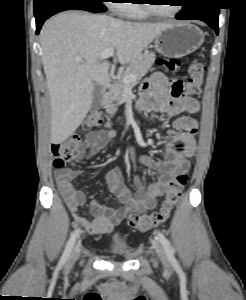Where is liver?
I'll return each mask as SVG.
<instances>
[{
	"mask_svg": "<svg viewBox=\"0 0 246 300\" xmlns=\"http://www.w3.org/2000/svg\"><path fill=\"white\" fill-rule=\"evenodd\" d=\"M168 26L76 11L49 19L40 43L51 99V142H63L81 125L92 104L93 81L110 83V64L99 58L103 51L114 48L121 65L131 63Z\"/></svg>",
	"mask_w": 246,
	"mask_h": 300,
	"instance_id": "6515ba94",
	"label": "liver"
}]
</instances>
